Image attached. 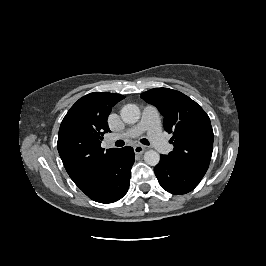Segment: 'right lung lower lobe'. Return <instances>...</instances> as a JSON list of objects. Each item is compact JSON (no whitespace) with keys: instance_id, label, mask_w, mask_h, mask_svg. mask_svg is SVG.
Here are the masks:
<instances>
[{"instance_id":"98d812e1","label":"right lung lower lobe","mask_w":266,"mask_h":266,"mask_svg":"<svg viewBox=\"0 0 266 266\" xmlns=\"http://www.w3.org/2000/svg\"><path fill=\"white\" fill-rule=\"evenodd\" d=\"M133 163V148L127 146L119 149L102 185L89 198L99 203H112L121 199L128 191Z\"/></svg>"}]
</instances>
